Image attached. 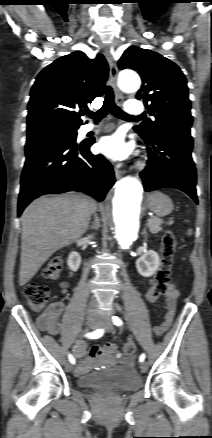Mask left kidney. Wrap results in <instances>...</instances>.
<instances>
[{
    "instance_id": "1",
    "label": "left kidney",
    "mask_w": 212,
    "mask_h": 438,
    "mask_svg": "<svg viewBox=\"0 0 212 438\" xmlns=\"http://www.w3.org/2000/svg\"><path fill=\"white\" fill-rule=\"evenodd\" d=\"M160 265V258L158 253L153 250L146 251L136 261V268L143 277H150L155 274Z\"/></svg>"
}]
</instances>
